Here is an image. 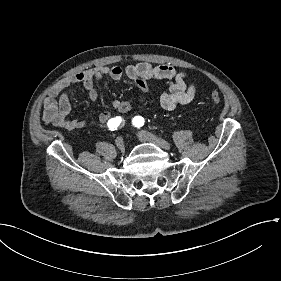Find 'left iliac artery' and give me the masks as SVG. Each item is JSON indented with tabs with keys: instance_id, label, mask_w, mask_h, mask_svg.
<instances>
[{
	"instance_id": "obj_1",
	"label": "left iliac artery",
	"mask_w": 281,
	"mask_h": 281,
	"mask_svg": "<svg viewBox=\"0 0 281 281\" xmlns=\"http://www.w3.org/2000/svg\"><path fill=\"white\" fill-rule=\"evenodd\" d=\"M132 123L135 127H142L144 125V119L141 116H135Z\"/></svg>"
}]
</instances>
